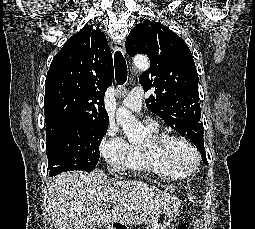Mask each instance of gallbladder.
<instances>
[{"mask_svg": "<svg viewBox=\"0 0 255 229\" xmlns=\"http://www.w3.org/2000/svg\"><path fill=\"white\" fill-rule=\"evenodd\" d=\"M87 229H96V227H89V228H87Z\"/></svg>", "mask_w": 255, "mask_h": 229, "instance_id": "gallbladder-1", "label": "gallbladder"}]
</instances>
